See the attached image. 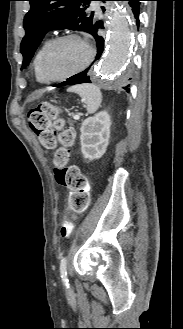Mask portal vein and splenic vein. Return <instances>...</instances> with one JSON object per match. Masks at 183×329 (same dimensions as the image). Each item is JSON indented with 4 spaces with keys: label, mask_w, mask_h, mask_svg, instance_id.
<instances>
[{
    "label": "portal vein and splenic vein",
    "mask_w": 183,
    "mask_h": 329,
    "mask_svg": "<svg viewBox=\"0 0 183 329\" xmlns=\"http://www.w3.org/2000/svg\"><path fill=\"white\" fill-rule=\"evenodd\" d=\"M73 118H74L75 120H79L80 115H79V114H75V115L73 116Z\"/></svg>",
    "instance_id": "1"
}]
</instances>
